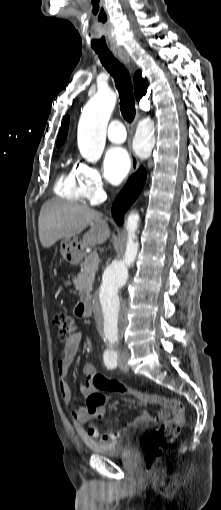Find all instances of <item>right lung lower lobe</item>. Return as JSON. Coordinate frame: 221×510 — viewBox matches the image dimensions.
Masks as SVG:
<instances>
[{
    "mask_svg": "<svg viewBox=\"0 0 221 510\" xmlns=\"http://www.w3.org/2000/svg\"><path fill=\"white\" fill-rule=\"evenodd\" d=\"M146 181V172L140 168L133 174L121 192L118 194L112 207V215L118 225H122L124 214L130 205L137 199L141 193Z\"/></svg>",
    "mask_w": 221,
    "mask_h": 510,
    "instance_id": "right-lung-lower-lobe-1",
    "label": "right lung lower lobe"
}]
</instances>
